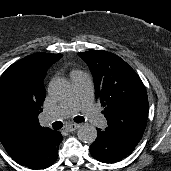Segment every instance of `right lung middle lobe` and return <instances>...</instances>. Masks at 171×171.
<instances>
[{
    "label": "right lung middle lobe",
    "mask_w": 171,
    "mask_h": 171,
    "mask_svg": "<svg viewBox=\"0 0 171 171\" xmlns=\"http://www.w3.org/2000/svg\"><path fill=\"white\" fill-rule=\"evenodd\" d=\"M18 95L12 82L2 81L0 83V109L10 113L17 109Z\"/></svg>",
    "instance_id": "right-lung-middle-lobe-1"
}]
</instances>
